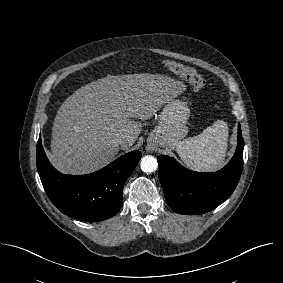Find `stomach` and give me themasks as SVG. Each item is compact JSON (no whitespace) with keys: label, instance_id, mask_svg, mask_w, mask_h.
Returning <instances> with one entry per match:
<instances>
[{"label":"stomach","instance_id":"obj_1","mask_svg":"<svg viewBox=\"0 0 283 283\" xmlns=\"http://www.w3.org/2000/svg\"><path fill=\"white\" fill-rule=\"evenodd\" d=\"M190 117L188 105L179 100H170L159 114V123L147 138V143L153 147L175 149L186 137V123Z\"/></svg>","mask_w":283,"mask_h":283}]
</instances>
